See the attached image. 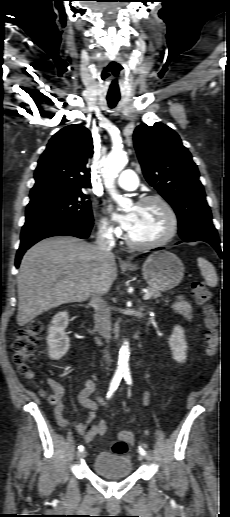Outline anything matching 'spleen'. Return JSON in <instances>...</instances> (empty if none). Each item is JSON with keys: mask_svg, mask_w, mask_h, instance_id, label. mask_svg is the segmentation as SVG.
I'll list each match as a JSON object with an SVG mask.
<instances>
[{"mask_svg": "<svg viewBox=\"0 0 230 517\" xmlns=\"http://www.w3.org/2000/svg\"><path fill=\"white\" fill-rule=\"evenodd\" d=\"M197 262L207 285L210 287H216L218 278L214 266L202 257H198Z\"/></svg>", "mask_w": 230, "mask_h": 517, "instance_id": "spleen-1", "label": "spleen"}]
</instances>
